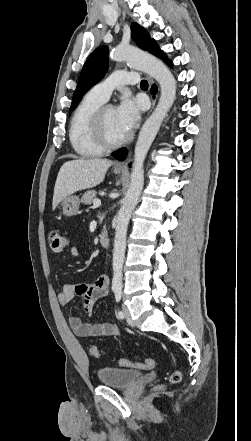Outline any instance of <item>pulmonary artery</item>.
<instances>
[{
	"mask_svg": "<svg viewBox=\"0 0 251 441\" xmlns=\"http://www.w3.org/2000/svg\"><path fill=\"white\" fill-rule=\"evenodd\" d=\"M138 75L135 72H128L124 70H118L110 74L106 79L96 84L92 91L103 98L108 100L112 91L115 88L121 87L127 84L138 83Z\"/></svg>",
	"mask_w": 251,
	"mask_h": 441,
	"instance_id": "1",
	"label": "pulmonary artery"
}]
</instances>
